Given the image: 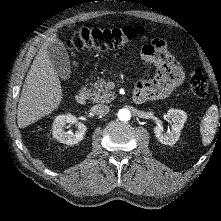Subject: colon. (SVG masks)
<instances>
[{
	"mask_svg": "<svg viewBox=\"0 0 221 221\" xmlns=\"http://www.w3.org/2000/svg\"><path fill=\"white\" fill-rule=\"evenodd\" d=\"M144 29L137 27L88 28L73 30L67 41L71 52L83 49L109 50L119 49L143 35ZM190 88L194 95L204 97L208 93V81L202 70L196 69L190 79Z\"/></svg>",
	"mask_w": 221,
	"mask_h": 221,
	"instance_id": "obj_1",
	"label": "colon"
}]
</instances>
